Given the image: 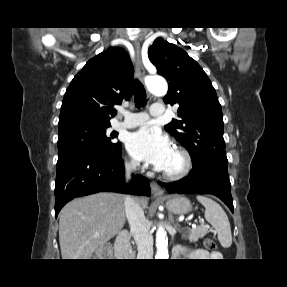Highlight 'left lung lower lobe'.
Wrapping results in <instances>:
<instances>
[{
	"label": "left lung lower lobe",
	"instance_id": "1",
	"mask_svg": "<svg viewBox=\"0 0 287 287\" xmlns=\"http://www.w3.org/2000/svg\"><path fill=\"white\" fill-rule=\"evenodd\" d=\"M159 184L169 193L178 194H212L220 198L233 212L231 184L228 172L221 170H205L189 175L179 181Z\"/></svg>",
	"mask_w": 287,
	"mask_h": 287
}]
</instances>
